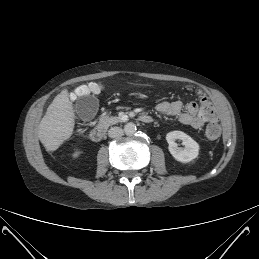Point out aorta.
I'll list each match as a JSON object with an SVG mask.
<instances>
[{"label": "aorta", "instance_id": "aorta-1", "mask_svg": "<svg viewBox=\"0 0 259 259\" xmlns=\"http://www.w3.org/2000/svg\"><path fill=\"white\" fill-rule=\"evenodd\" d=\"M137 127L134 123L129 122L127 124H125L124 126V132L126 135H134L136 133Z\"/></svg>", "mask_w": 259, "mask_h": 259}]
</instances>
